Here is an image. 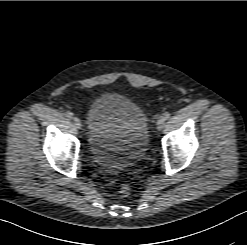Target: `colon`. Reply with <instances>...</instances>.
<instances>
[{
    "label": "colon",
    "mask_w": 247,
    "mask_h": 245,
    "mask_svg": "<svg viewBox=\"0 0 247 245\" xmlns=\"http://www.w3.org/2000/svg\"><path fill=\"white\" fill-rule=\"evenodd\" d=\"M120 192L123 196H128L131 193V186L129 184H123L120 187Z\"/></svg>",
    "instance_id": "1"
}]
</instances>
